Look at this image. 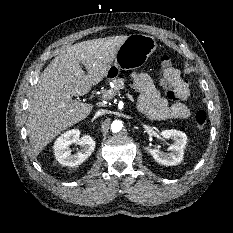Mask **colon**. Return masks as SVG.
<instances>
[{
    "instance_id": "colon-1",
    "label": "colon",
    "mask_w": 233,
    "mask_h": 233,
    "mask_svg": "<svg viewBox=\"0 0 233 233\" xmlns=\"http://www.w3.org/2000/svg\"><path fill=\"white\" fill-rule=\"evenodd\" d=\"M161 82L167 90V97L172 101H179L181 94L176 88V84L181 79L180 72L173 66L171 59L167 55L159 58ZM195 125L199 130H204L208 123L205 111L200 110L195 114Z\"/></svg>"
}]
</instances>
